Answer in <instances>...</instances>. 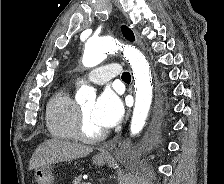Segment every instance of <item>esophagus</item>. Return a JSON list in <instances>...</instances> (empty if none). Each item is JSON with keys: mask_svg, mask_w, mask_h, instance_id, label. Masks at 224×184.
Here are the masks:
<instances>
[{"mask_svg": "<svg viewBox=\"0 0 224 184\" xmlns=\"http://www.w3.org/2000/svg\"><path fill=\"white\" fill-rule=\"evenodd\" d=\"M102 154L103 155H109V153L107 151H103Z\"/></svg>", "mask_w": 224, "mask_h": 184, "instance_id": "34e87169", "label": "esophagus"}]
</instances>
